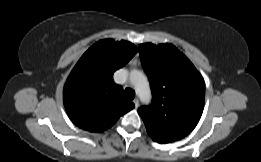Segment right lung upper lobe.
<instances>
[{
    "label": "right lung upper lobe",
    "instance_id": "1",
    "mask_svg": "<svg viewBox=\"0 0 261 162\" xmlns=\"http://www.w3.org/2000/svg\"><path fill=\"white\" fill-rule=\"evenodd\" d=\"M136 53L137 48L128 41L104 39L83 54L63 89L66 112L76 126L101 133L134 108L123 98V89L112 75Z\"/></svg>",
    "mask_w": 261,
    "mask_h": 162
}]
</instances>
